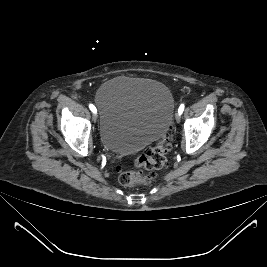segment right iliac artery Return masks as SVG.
<instances>
[{
	"mask_svg": "<svg viewBox=\"0 0 267 267\" xmlns=\"http://www.w3.org/2000/svg\"><path fill=\"white\" fill-rule=\"evenodd\" d=\"M89 108L93 113H96L97 110H96V108H95V106L93 104H90Z\"/></svg>",
	"mask_w": 267,
	"mask_h": 267,
	"instance_id": "obj_1",
	"label": "right iliac artery"
}]
</instances>
